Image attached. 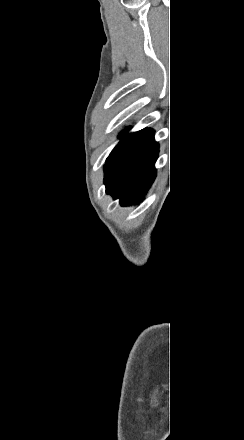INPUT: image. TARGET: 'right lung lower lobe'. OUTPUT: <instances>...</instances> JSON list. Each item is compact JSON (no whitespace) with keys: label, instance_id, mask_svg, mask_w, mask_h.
Listing matches in <instances>:
<instances>
[{"label":"right lung lower lobe","instance_id":"98d812e1","mask_svg":"<svg viewBox=\"0 0 244 440\" xmlns=\"http://www.w3.org/2000/svg\"><path fill=\"white\" fill-rule=\"evenodd\" d=\"M158 152L152 129L124 136L107 158L106 192L114 199L120 198L121 205L143 199L156 176L154 164Z\"/></svg>","mask_w":244,"mask_h":440}]
</instances>
